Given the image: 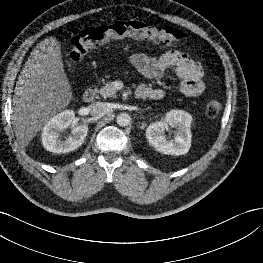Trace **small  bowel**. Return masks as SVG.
<instances>
[{"mask_svg":"<svg viewBox=\"0 0 263 263\" xmlns=\"http://www.w3.org/2000/svg\"><path fill=\"white\" fill-rule=\"evenodd\" d=\"M129 61L139 73L148 79L159 78L168 69H173L180 79V92L187 97L199 96L205 90L201 65L181 51L170 50L159 58L135 53L130 56ZM139 89L147 93L146 98L160 99L164 96L161 89L146 85L140 86Z\"/></svg>","mask_w":263,"mask_h":263,"instance_id":"1","label":"small bowel"}]
</instances>
